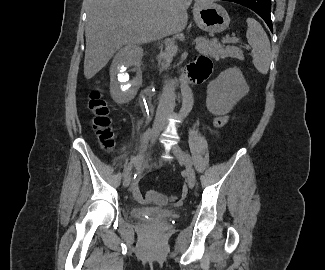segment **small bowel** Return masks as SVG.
<instances>
[{
    "label": "small bowel",
    "mask_w": 325,
    "mask_h": 270,
    "mask_svg": "<svg viewBox=\"0 0 325 270\" xmlns=\"http://www.w3.org/2000/svg\"><path fill=\"white\" fill-rule=\"evenodd\" d=\"M212 71V61L210 58L204 55L195 57L187 66V74L195 82H200L205 80ZM229 116L221 115L218 116L214 121V126L216 128H221L227 124ZM133 196L135 200L142 201V194L136 186L132 189Z\"/></svg>",
    "instance_id": "1"
}]
</instances>
